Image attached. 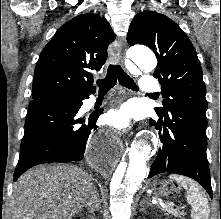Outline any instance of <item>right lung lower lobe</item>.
I'll return each mask as SVG.
<instances>
[{
	"instance_id": "98d812e1",
	"label": "right lung lower lobe",
	"mask_w": 221,
	"mask_h": 219,
	"mask_svg": "<svg viewBox=\"0 0 221 219\" xmlns=\"http://www.w3.org/2000/svg\"><path fill=\"white\" fill-rule=\"evenodd\" d=\"M95 91L83 94L32 100L14 181L29 168L43 163L73 162L83 158L85 150L98 159L104 147L92 139L102 110L78 118L82 100Z\"/></svg>"
}]
</instances>
